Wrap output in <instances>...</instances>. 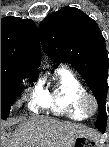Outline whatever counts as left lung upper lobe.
Here are the masks:
<instances>
[{"label": "left lung upper lobe", "instance_id": "5c2ea615", "mask_svg": "<svg viewBox=\"0 0 109 147\" xmlns=\"http://www.w3.org/2000/svg\"><path fill=\"white\" fill-rule=\"evenodd\" d=\"M44 51L56 63L71 64L98 101L97 128H105L109 58L96 22L81 10L64 7L48 15L39 26Z\"/></svg>", "mask_w": 109, "mask_h": 147}]
</instances>
